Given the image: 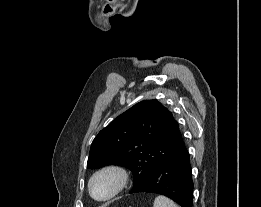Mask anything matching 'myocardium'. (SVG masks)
<instances>
[{"label":"myocardium","mask_w":261,"mask_h":207,"mask_svg":"<svg viewBox=\"0 0 261 207\" xmlns=\"http://www.w3.org/2000/svg\"><path fill=\"white\" fill-rule=\"evenodd\" d=\"M109 175L114 179V187L112 191L104 198H97L94 196L92 191V184L94 180L100 176ZM128 183V173L127 171L118 165H107L97 171H95L89 179L88 182V191L92 199L97 202H106L117 196L127 185Z\"/></svg>","instance_id":"myocardium-1"}]
</instances>
